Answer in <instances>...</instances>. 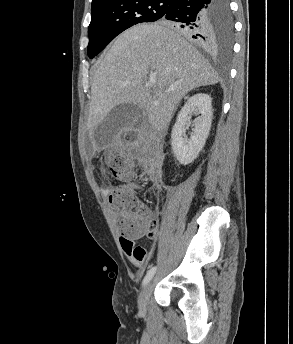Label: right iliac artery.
I'll return each mask as SVG.
<instances>
[{
	"label": "right iliac artery",
	"mask_w": 293,
	"mask_h": 344,
	"mask_svg": "<svg viewBox=\"0 0 293 344\" xmlns=\"http://www.w3.org/2000/svg\"><path fill=\"white\" fill-rule=\"evenodd\" d=\"M155 272H156V267H152L147 271V274L143 279L142 286H145L152 279Z\"/></svg>",
	"instance_id": "1"
}]
</instances>
